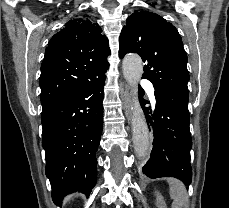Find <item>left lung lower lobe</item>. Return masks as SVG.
I'll list each match as a JSON object with an SVG mask.
<instances>
[{
  "label": "left lung lower lobe",
  "instance_id": "obj_1",
  "mask_svg": "<svg viewBox=\"0 0 229 208\" xmlns=\"http://www.w3.org/2000/svg\"><path fill=\"white\" fill-rule=\"evenodd\" d=\"M155 98L156 108L152 117L148 115L152 111L144 108L147 101L141 98V105L147 122L152 124L154 135L151 156L142 171L149 178L175 177L188 186L192 181L189 113L174 109L156 93Z\"/></svg>",
  "mask_w": 229,
  "mask_h": 208
}]
</instances>
